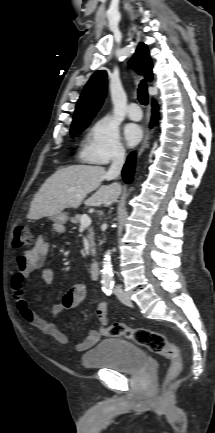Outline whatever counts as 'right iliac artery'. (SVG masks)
<instances>
[{
    "mask_svg": "<svg viewBox=\"0 0 215 433\" xmlns=\"http://www.w3.org/2000/svg\"><path fill=\"white\" fill-rule=\"evenodd\" d=\"M112 289L113 286L112 285H105L103 287V291L107 294V295H111L112 294Z\"/></svg>",
    "mask_w": 215,
    "mask_h": 433,
    "instance_id": "obj_1",
    "label": "right iliac artery"
}]
</instances>
